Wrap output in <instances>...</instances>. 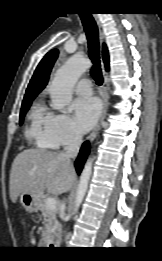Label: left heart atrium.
Instances as JSON below:
<instances>
[{
	"instance_id": "39dd6f15",
	"label": "left heart atrium",
	"mask_w": 162,
	"mask_h": 261,
	"mask_svg": "<svg viewBox=\"0 0 162 261\" xmlns=\"http://www.w3.org/2000/svg\"><path fill=\"white\" fill-rule=\"evenodd\" d=\"M74 122L81 132L90 130L99 115V102L94 97L77 98L72 104Z\"/></svg>"
}]
</instances>
